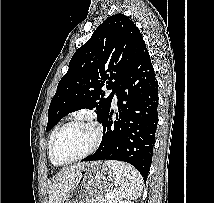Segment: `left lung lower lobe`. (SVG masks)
Returning <instances> with one entry per match:
<instances>
[{
  "label": "left lung lower lobe",
  "instance_id": "left-lung-lower-lobe-1",
  "mask_svg": "<svg viewBox=\"0 0 214 203\" xmlns=\"http://www.w3.org/2000/svg\"><path fill=\"white\" fill-rule=\"evenodd\" d=\"M118 109L101 120L103 138L97 151L82 161L119 160L132 164L146 181L158 123V81L147 48L140 53L116 92Z\"/></svg>",
  "mask_w": 214,
  "mask_h": 203
}]
</instances>
